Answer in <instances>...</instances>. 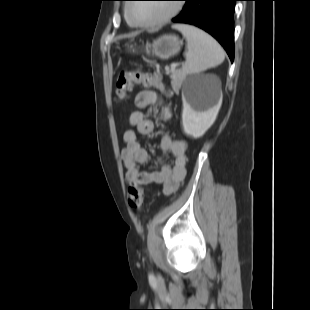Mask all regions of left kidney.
<instances>
[{"label": "left kidney", "mask_w": 310, "mask_h": 310, "mask_svg": "<svg viewBox=\"0 0 310 310\" xmlns=\"http://www.w3.org/2000/svg\"><path fill=\"white\" fill-rule=\"evenodd\" d=\"M182 100V127L184 133L193 138L202 137L215 122L219 107L210 109L196 108L188 95H183Z\"/></svg>", "instance_id": "obj_1"}]
</instances>
